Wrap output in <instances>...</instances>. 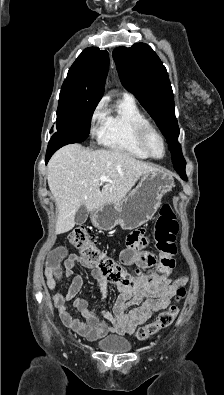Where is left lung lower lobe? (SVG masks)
Masks as SVG:
<instances>
[{"label":"left lung lower lobe","mask_w":224,"mask_h":395,"mask_svg":"<svg viewBox=\"0 0 224 395\" xmlns=\"http://www.w3.org/2000/svg\"><path fill=\"white\" fill-rule=\"evenodd\" d=\"M185 165H186L185 160H183L182 162L178 163L177 165H174L175 170L179 173V175L183 179H186Z\"/></svg>","instance_id":"0a47b994"}]
</instances>
